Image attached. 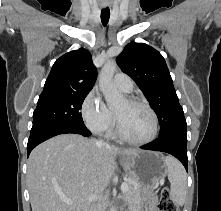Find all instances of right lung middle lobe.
I'll list each match as a JSON object with an SVG mask.
<instances>
[{
  "label": "right lung middle lobe",
  "instance_id": "dd1d6c3e",
  "mask_svg": "<svg viewBox=\"0 0 221 211\" xmlns=\"http://www.w3.org/2000/svg\"><path fill=\"white\" fill-rule=\"evenodd\" d=\"M86 93H41L33 113L31 132L49 125H74L84 127L80 113Z\"/></svg>",
  "mask_w": 221,
  "mask_h": 211
}]
</instances>
